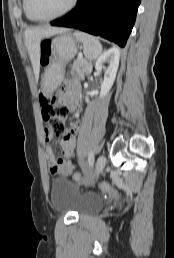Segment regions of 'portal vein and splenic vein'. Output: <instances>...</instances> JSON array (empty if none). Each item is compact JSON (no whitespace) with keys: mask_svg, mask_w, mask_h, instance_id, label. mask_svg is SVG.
Masks as SVG:
<instances>
[{"mask_svg":"<svg viewBox=\"0 0 174 258\" xmlns=\"http://www.w3.org/2000/svg\"><path fill=\"white\" fill-rule=\"evenodd\" d=\"M79 58H82V55H79Z\"/></svg>","mask_w":174,"mask_h":258,"instance_id":"18ae733b","label":"portal vein and splenic vein"}]
</instances>
